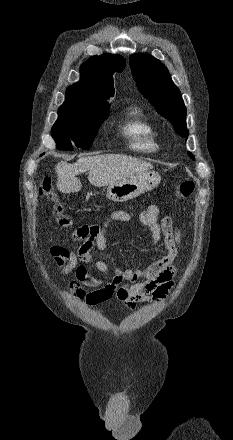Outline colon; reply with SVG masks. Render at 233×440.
<instances>
[{
  "mask_svg": "<svg viewBox=\"0 0 233 440\" xmlns=\"http://www.w3.org/2000/svg\"><path fill=\"white\" fill-rule=\"evenodd\" d=\"M194 182L191 180H183L180 181L175 187V195L180 198H189L194 192ZM40 194L44 198L54 200L55 199V191L53 188V180L50 177H47L43 180ZM54 215L56 217V221L59 227L68 228L71 226V219L64 214V208L61 203H56L54 206Z\"/></svg>",
  "mask_w": 233,
  "mask_h": 440,
  "instance_id": "obj_1",
  "label": "colon"
}]
</instances>
